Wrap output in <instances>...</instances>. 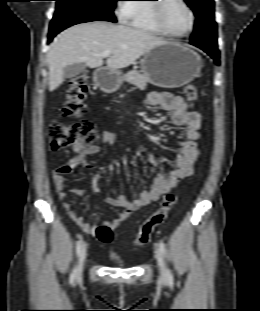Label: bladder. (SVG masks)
<instances>
[{
    "mask_svg": "<svg viewBox=\"0 0 260 311\" xmlns=\"http://www.w3.org/2000/svg\"><path fill=\"white\" fill-rule=\"evenodd\" d=\"M111 259H112L114 262H116V263H118V264H121V260H120L118 257H116V256H111Z\"/></svg>",
    "mask_w": 260,
    "mask_h": 311,
    "instance_id": "obj_1",
    "label": "bladder"
}]
</instances>
